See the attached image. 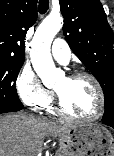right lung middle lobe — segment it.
Wrapping results in <instances>:
<instances>
[{
  "instance_id": "dd1d6c3e",
  "label": "right lung middle lobe",
  "mask_w": 114,
  "mask_h": 156,
  "mask_svg": "<svg viewBox=\"0 0 114 156\" xmlns=\"http://www.w3.org/2000/svg\"><path fill=\"white\" fill-rule=\"evenodd\" d=\"M24 60L0 58V105L23 107L16 92V80Z\"/></svg>"
}]
</instances>
